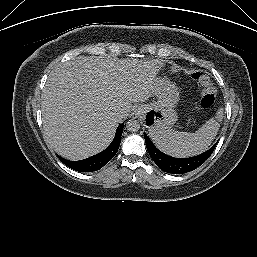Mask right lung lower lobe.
I'll use <instances>...</instances> for the list:
<instances>
[{"label": "right lung lower lobe", "mask_w": 257, "mask_h": 257, "mask_svg": "<svg viewBox=\"0 0 257 257\" xmlns=\"http://www.w3.org/2000/svg\"><path fill=\"white\" fill-rule=\"evenodd\" d=\"M123 123L118 126L116 135L112 143L102 152L93 155L89 158L79 161H69L60 156L58 158L69 168L80 172H92L101 169L105 166L117 153L121 142V135L123 132Z\"/></svg>", "instance_id": "98d812e1"}]
</instances>
